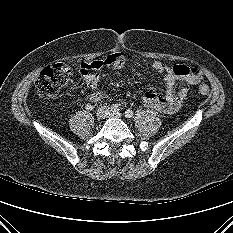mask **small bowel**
I'll list each match as a JSON object with an SVG mask.
<instances>
[{"label": "small bowel", "instance_id": "c3829d8e", "mask_svg": "<svg viewBox=\"0 0 233 233\" xmlns=\"http://www.w3.org/2000/svg\"><path fill=\"white\" fill-rule=\"evenodd\" d=\"M128 61L126 55L122 53H113L102 59H96L89 63H82L80 68V83L85 82L87 86L93 89L89 95L91 102H97L106 99V95L96 90L99 81V72L107 67L113 68L122 73ZM153 71L163 74V80L167 87L164 95L150 92L142 100L144 107L152 112L174 113L176 112L188 94V84H196L200 81L201 76L179 75L175 72L177 67L182 65L167 66L160 61L151 63ZM180 83L183 85L176 91V86Z\"/></svg>", "mask_w": 233, "mask_h": 233}]
</instances>
